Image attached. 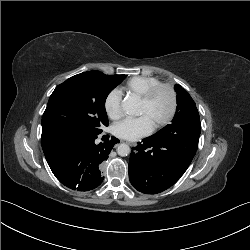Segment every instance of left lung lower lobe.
<instances>
[{"instance_id": "0a47b994", "label": "left lung lower lobe", "mask_w": 250, "mask_h": 250, "mask_svg": "<svg viewBox=\"0 0 250 250\" xmlns=\"http://www.w3.org/2000/svg\"><path fill=\"white\" fill-rule=\"evenodd\" d=\"M164 135H152L132 148L129 179L138 191L160 193L185 173L198 148L201 124L190 122Z\"/></svg>"}]
</instances>
